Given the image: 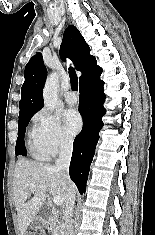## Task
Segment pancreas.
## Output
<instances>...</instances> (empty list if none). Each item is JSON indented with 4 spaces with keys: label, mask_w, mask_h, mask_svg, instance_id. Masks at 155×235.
I'll return each mask as SVG.
<instances>
[{
    "label": "pancreas",
    "mask_w": 155,
    "mask_h": 235,
    "mask_svg": "<svg viewBox=\"0 0 155 235\" xmlns=\"http://www.w3.org/2000/svg\"><path fill=\"white\" fill-rule=\"evenodd\" d=\"M48 226L50 231L52 232V235H63V222L59 220L58 214L53 213L49 220H48Z\"/></svg>",
    "instance_id": "1"
}]
</instances>
